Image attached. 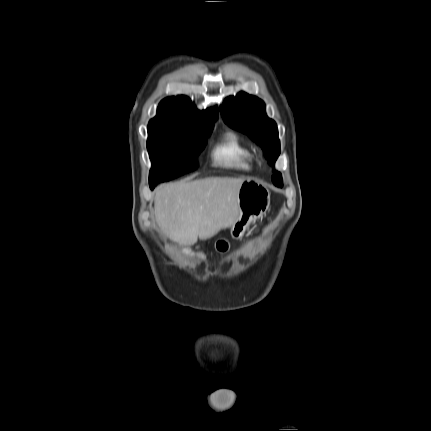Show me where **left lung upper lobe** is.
Instances as JSON below:
<instances>
[{
  "label": "left lung upper lobe",
  "mask_w": 431,
  "mask_h": 431,
  "mask_svg": "<svg viewBox=\"0 0 431 431\" xmlns=\"http://www.w3.org/2000/svg\"><path fill=\"white\" fill-rule=\"evenodd\" d=\"M221 108L224 121L252 138L264 150L268 163L273 165L280 154V142L276 123L265 113L262 100L247 93L240 92L236 97H228ZM273 183L282 187L281 174L275 171Z\"/></svg>",
  "instance_id": "obj_1"
}]
</instances>
